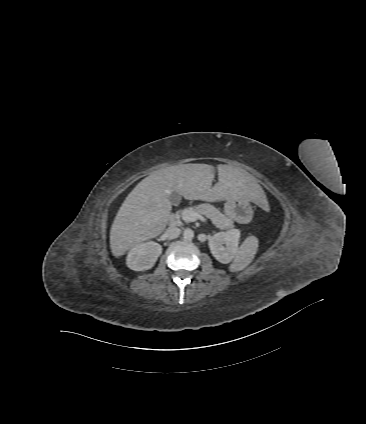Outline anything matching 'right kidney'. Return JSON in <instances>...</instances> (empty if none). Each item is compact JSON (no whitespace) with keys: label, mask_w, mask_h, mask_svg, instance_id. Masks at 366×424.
<instances>
[{"label":"right kidney","mask_w":366,"mask_h":424,"mask_svg":"<svg viewBox=\"0 0 366 424\" xmlns=\"http://www.w3.org/2000/svg\"><path fill=\"white\" fill-rule=\"evenodd\" d=\"M161 253L160 244L152 241L141 243L129 251L126 264L134 271H145L154 266Z\"/></svg>","instance_id":"ca27d5eb"}]
</instances>
